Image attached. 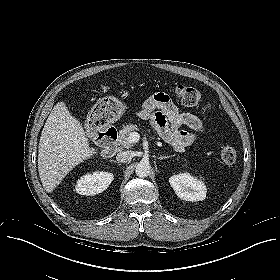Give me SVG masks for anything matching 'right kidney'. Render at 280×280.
I'll use <instances>...</instances> for the list:
<instances>
[{
    "instance_id": "right-kidney-1",
    "label": "right kidney",
    "mask_w": 280,
    "mask_h": 280,
    "mask_svg": "<svg viewBox=\"0 0 280 280\" xmlns=\"http://www.w3.org/2000/svg\"><path fill=\"white\" fill-rule=\"evenodd\" d=\"M113 181V174L108 172H94L82 176L75 186V191L80 195L93 196L103 192Z\"/></svg>"
}]
</instances>
